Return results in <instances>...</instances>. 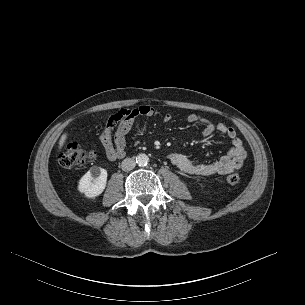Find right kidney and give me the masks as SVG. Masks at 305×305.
<instances>
[{
    "label": "right kidney",
    "instance_id": "ca27d5eb",
    "mask_svg": "<svg viewBox=\"0 0 305 305\" xmlns=\"http://www.w3.org/2000/svg\"><path fill=\"white\" fill-rule=\"evenodd\" d=\"M107 183V171L101 167L93 166L79 181L78 190L88 198L99 196Z\"/></svg>",
    "mask_w": 305,
    "mask_h": 305
}]
</instances>
